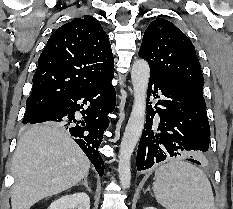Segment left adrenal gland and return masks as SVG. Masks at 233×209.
<instances>
[{"mask_svg":"<svg viewBox=\"0 0 233 209\" xmlns=\"http://www.w3.org/2000/svg\"><path fill=\"white\" fill-rule=\"evenodd\" d=\"M147 191L150 192V187H148V188L144 191V193H146Z\"/></svg>","mask_w":233,"mask_h":209,"instance_id":"1","label":"left adrenal gland"}]
</instances>
